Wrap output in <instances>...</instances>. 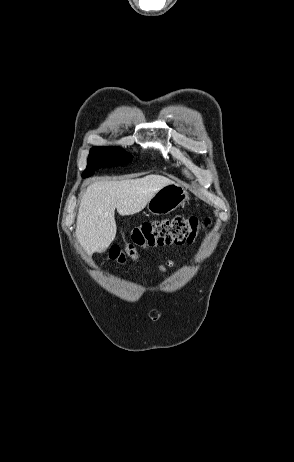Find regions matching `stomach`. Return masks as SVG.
Returning <instances> with one entry per match:
<instances>
[{
	"label": "stomach",
	"mask_w": 294,
	"mask_h": 462,
	"mask_svg": "<svg viewBox=\"0 0 294 462\" xmlns=\"http://www.w3.org/2000/svg\"><path fill=\"white\" fill-rule=\"evenodd\" d=\"M188 199L187 191L178 184H170L158 190L147 203L153 215H165L176 210Z\"/></svg>",
	"instance_id": "obj_1"
}]
</instances>
